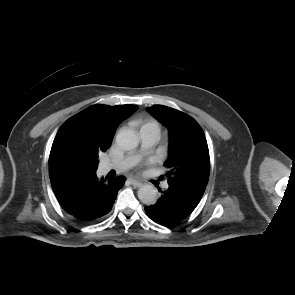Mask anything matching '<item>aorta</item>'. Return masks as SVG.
Returning <instances> with one entry per match:
<instances>
[{
    "label": "aorta",
    "instance_id": "1",
    "mask_svg": "<svg viewBox=\"0 0 295 295\" xmlns=\"http://www.w3.org/2000/svg\"><path fill=\"white\" fill-rule=\"evenodd\" d=\"M116 143L123 150H133L139 144V138L132 129H121L116 135ZM139 200L146 205H153L158 199L157 189L150 184L143 185L138 189Z\"/></svg>",
    "mask_w": 295,
    "mask_h": 295
}]
</instances>
